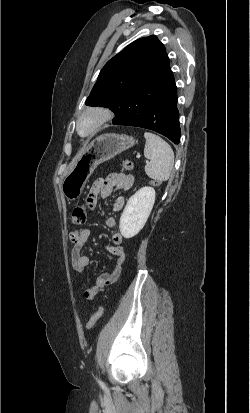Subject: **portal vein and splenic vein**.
<instances>
[{
	"mask_svg": "<svg viewBox=\"0 0 250 413\" xmlns=\"http://www.w3.org/2000/svg\"><path fill=\"white\" fill-rule=\"evenodd\" d=\"M138 159L140 158V154H137V156H136Z\"/></svg>",
	"mask_w": 250,
	"mask_h": 413,
	"instance_id": "1",
	"label": "portal vein and splenic vein"
}]
</instances>
